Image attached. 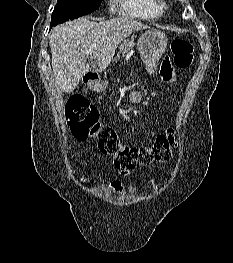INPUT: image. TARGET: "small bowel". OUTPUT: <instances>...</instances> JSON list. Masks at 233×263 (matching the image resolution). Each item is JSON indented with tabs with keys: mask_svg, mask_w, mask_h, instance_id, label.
I'll use <instances>...</instances> for the list:
<instances>
[{
	"mask_svg": "<svg viewBox=\"0 0 233 263\" xmlns=\"http://www.w3.org/2000/svg\"><path fill=\"white\" fill-rule=\"evenodd\" d=\"M158 70H159L160 76L165 82L173 83L176 81V73L168 58L163 59L159 63ZM107 190L115 195H120L123 192L121 183L118 181L111 182L108 185Z\"/></svg>",
	"mask_w": 233,
	"mask_h": 263,
	"instance_id": "1",
	"label": "small bowel"
}]
</instances>
